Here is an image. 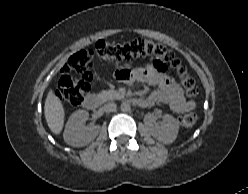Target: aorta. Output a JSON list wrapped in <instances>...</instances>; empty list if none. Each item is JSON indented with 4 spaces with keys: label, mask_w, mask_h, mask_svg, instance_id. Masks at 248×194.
Here are the masks:
<instances>
[{
    "label": "aorta",
    "mask_w": 248,
    "mask_h": 194,
    "mask_svg": "<svg viewBox=\"0 0 248 194\" xmlns=\"http://www.w3.org/2000/svg\"><path fill=\"white\" fill-rule=\"evenodd\" d=\"M130 109H131V107H130V104H129V103L123 102V103L121 104V111H122V112H129Z\"/></svg>",
    "instance_id": "obj_1"
}]
</instances>
